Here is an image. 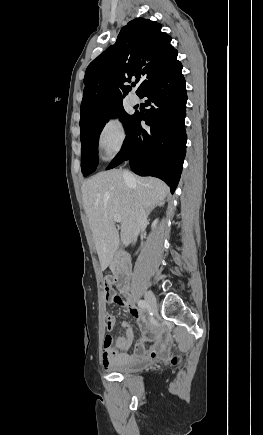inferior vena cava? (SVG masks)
Returning a JSON list of instances; mask_svg holds the SVG:
<instances>
[{
    "instance_id": "602c4592",
    "label": "inferior vena cava",
    "mask_w": 263,
    "mask_h": 435,
    "mask_svg": "<svg viewBox=\"0 0 263 435\" xmlns=\"http://www.w3.org/2000/svg\"><path fill=\"white\" fill-rule=\"evenodd\" d=\"M123 178L127 183L132 182L134 180L133 175L128 170L123 171ZM146 219H147L146 210L142 206L135 204L132 213V225H131V236L133 242L137 240L140 229L143 226V224L146 222Z\"/></svg>"
}]
</instances>
